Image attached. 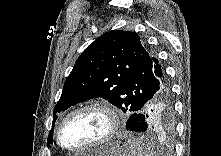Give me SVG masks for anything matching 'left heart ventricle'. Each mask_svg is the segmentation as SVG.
<instances>
[{"label":"left heart ventricle","mask_w":221,"mask_h":156,"mask_svg":"<svg viewBox=\"0 0 221 156\" xmlns=\"http://www.w3.org/2000/svg\"><path fill=\"white\" fill-rule=\"evenodd\" d=\"M108 129L106 115L98 110L82 111L71 117L62 130L64 145L72 148L90 145Z\"/></svg>","instance_id":"obj_1"}]
</instances>
